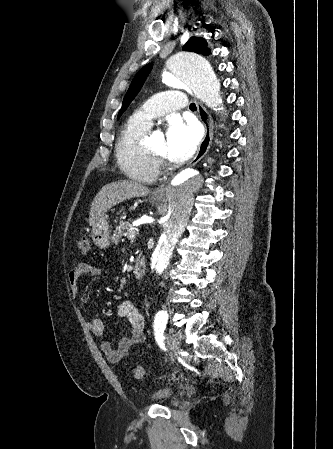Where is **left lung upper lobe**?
I'll use <instances>...</instances> for the list:
<instances>
[{
	"mask_svg": "<svg viewBox=\"0 0 333 449\" xmlns=\"http://www.w3.org/2000/svg\"><path fill=\"white\" fill-rule=\"evenodd\" d=\"M184 51L196 52L199 54L208 55L210 49L207 48V42L200 37H191L182 48ZM152 68L151 64L144 66L134 77L131 85L123 99L122 108L119 111L118 117L127 109L128 105L136 94L140 91L148 73Z\"/></svg>",
	"mask_w": 333,
	"mask_h": 449,
	"instance_id": "1",
	"label": "left lung upper lobe"
}]
</instances>
